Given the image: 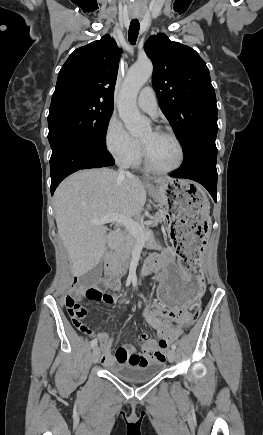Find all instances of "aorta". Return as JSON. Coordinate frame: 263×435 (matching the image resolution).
<instances>
[{"label":"aorta","mask_w":263,"mask_h":435,"mask_svg":"<svg viewBox=\"0 0 263 435\" xmlns=\"http://www.w3.org/2000/svg\"><path fill=\"white\" fill-rule=\"evenodd\" d=\"M153 72L150 61L133 65L125 78L118 102L119 116L133 136H142L150 131V122L143 117L136 105L137 95Z\"/></svg>","instance_id":"1"}]
</instances>
